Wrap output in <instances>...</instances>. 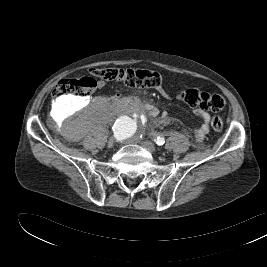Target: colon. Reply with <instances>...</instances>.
I'll use <instances>...</instances> for the list:
<instances>
[{
	"instance_id": "1",
	"label": "colon",
	"mask_w": 267,
	"mask_h": 267,
	"mask_svg": "<svg viewBox=\"0 0 267 267\" xmlns=\"http://www.w3.org/2000/svg\"><path fill=\"white\" fill-rule=\"evenodd\" d=\"M90 73V76L60 80L53 88L52 96L54 98L66 96L85 98L97 87L96 78L108 82H120L130 88H157L162 83L160 73L142 68H94ZM181 98L192 108L213 112L222 111L226 104L221 95L194 88L183 91ZM211 127L217 132L222 131L221 118L213 117Z\"/></svg>"
}]
</instances>
